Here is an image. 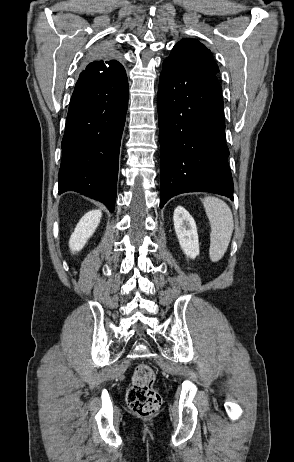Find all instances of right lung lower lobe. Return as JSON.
<instances>
[{"label":"right lung lower lobe","instance_id":"right-lung-lower-lobe-1","mask_svg":"<svg viewBox=\"0 0 294 462\" xmlns=\"http://www.w3.org/2000/svg\"><path fill=\"white\" fill-rule=\"evenodd\" d=\"M127 105L126 73L110 82L74 89L62 140L59 194L76 191L114 211Z\"/></svg>","mask_w":294,"mask_h":462}]
</instances>
